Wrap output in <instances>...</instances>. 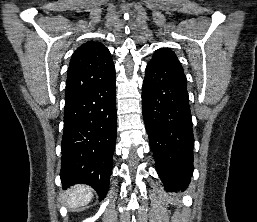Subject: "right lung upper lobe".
I'll list each match as a JSON object with an SVG mask.
<instances>
[{
    "mask_svg": "<svg viewBox=\"0 0 257 222\" xmlns=\"http://www.w3.org/2000/svg\"><path fill=\"white\" fill-rule=\"evenodd\" d=\"M115 70L110 51L100 42L87 41L73 53L65 98L74 97L107 79Z\"/></svg>",
    "mask_w": 257,
    "mask_h": 222,
    "instance_id": "1",
    "label": "right lung upper lobe"
}]
</instances>
